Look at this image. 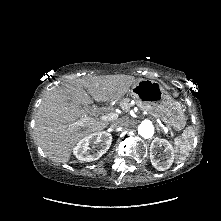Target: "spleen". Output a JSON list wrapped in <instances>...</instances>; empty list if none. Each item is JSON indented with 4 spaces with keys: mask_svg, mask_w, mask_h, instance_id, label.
Segmentation results:
<instances>
[{
    "mask_svg": "<svg viewBox=\"0 0 221 221\" xmlns=\"http://www.w3.org/2000/svg\"><path fill=\"white\" fill-rule=\"evenodd\" d=\"M194 139V132L191 127L187 128L181 137L174 140L175 153L178 158V163L183 162L190 153Z\"/></svg>",
    "mask_w": 221,
    "mask_h": 221,
    "instance_id": "spleen-1",
    "label": "spleen"
}]
</instances>
